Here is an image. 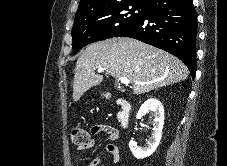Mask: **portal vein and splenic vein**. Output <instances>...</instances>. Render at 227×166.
<instances>
[{
  "instance_id": "1",
  "label": "portal vein and splenic vein",
  "mask_w": 227,
  "mask_h": 166,
  "mask_svg": "<svg viewBox=\"0 0 227 166\" xmlns=\"http://www.w3.org/2000/svg\"><path fill=\"white\" fill-rule=\"evenodd\" d=\"M104 70H105V68H99L97 71L100 73V72H103ZM120 81H121L122 84H129L130 83V81L126 77H122L120 79Z\"/></svg>"
}]
</instances>
